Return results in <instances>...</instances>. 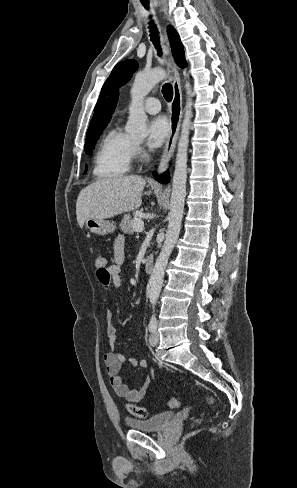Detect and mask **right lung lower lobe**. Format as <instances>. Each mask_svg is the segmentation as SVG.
I'll use <instances>...</instances> for the list:
<instances>
[{"mask_svg":"<svg viewBox=\"0 0 297 488\" xmlns=\"http://www.w3.org/2000/svg\"><path fill=\"white\" fill-rule=\"evenodd\" d=\"M156 179L161 183H167L169 182V174L166 172L162 176H156Z\"/></svg>","mask_w":297,"mask_h":488,"instance_id":"obj_1","label":"right lung lower lobe"}]
</instances>
